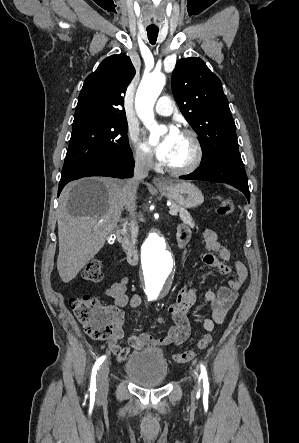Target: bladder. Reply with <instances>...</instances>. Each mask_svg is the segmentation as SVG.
<instances>
[{"label":"bladder","mask_w":299,"mask_h":443,"mask_svg":"<svg viewBox=\"0 0 299 443\" xmlns=\"http://www.w3.org/2000/svg\"><path fill=\"white\" fill-rule=\"evenodd\" d=\"M125 373L136 385L154 388L165 383L168 377V363L159 349H141L128 357Z\"/></svg>","instance_id":"obj_1"}]
</instances>
